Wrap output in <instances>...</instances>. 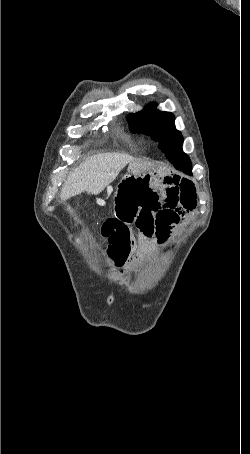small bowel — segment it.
<instances>
[{
	"instance_id": "c3829d8e",
	"label": "small bowel",
	"mask_w": 250,
	"mask_h": 454,
	"mask_svg": "<svg viewBox=\"0 0 250 454\" xmlns=\"http://www.w3.org/2000/svg\"><path fill=\"white\" fill-rule=\"evenodd\" d=\"M196 187L192 180L170 174L128 172L113 189L114 216L102 225L107 241V256L119 268L136 264L148 255L133 254L134 235L130 225L147 238L164 242L172 230L196 206Z\"/></svg>"
}]
</instances>
